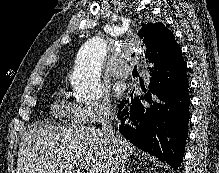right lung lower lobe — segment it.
Wrapping results in <instances>:
<instances>
[{"label":"right lung lower lobe","instance_id":"98d812e1","mask_svg":"<svg viewBox=\"0 0 219 173\" xmlns=\"http://www.w3.org/2000/svg\"><path fill=\"white\" fill-rule=\"evenodd\" d=\"M151 79L144 94L120 103L121 134L141 150L167 162L175 170L181 165L187 139L190 97L186 63L182 55H154L148 59ZM138 91V90H137Z\"/></svg>","mask_w":219,"mask_h":173}]
</instances>
